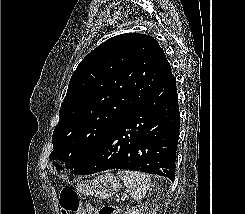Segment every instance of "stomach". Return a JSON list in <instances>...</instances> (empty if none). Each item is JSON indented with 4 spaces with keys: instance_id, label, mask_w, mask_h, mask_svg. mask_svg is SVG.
I'll return each instance as SVG.
<instances>
[{
    "instance_id": "1",
    "label": "stomach",
    "mask_w": 245,
    "mask_h": 214,
    "mask_svg": "<svg viewBox=\"0 0 245 214\" xmlns=\"http://www.w3.org/2000/svg\"><path fill=\"white\" fill-rule=\"evenodd\" d=\"M120 188V181L111 173H105L97 176L93 180L81 181L77 184V190L80 193L92 195L101 199L113 197Z\"/></svg>"
}]
</instances>
